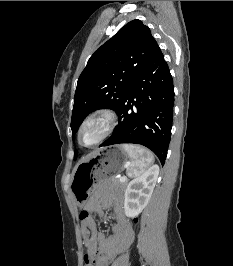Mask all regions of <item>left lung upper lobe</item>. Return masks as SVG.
Here are the masks:
<instances>
[{
  "mask_svg": "<svg viewBox=\"0 0 233 266\" xmlns=\"http://www.w3.org/2000/svg\"><path fill=\"white\" fill-rule=\"evenodd\" d=\"M157 46L150 29L133 20L94 52L77 82L72 136L92 111L109 108L117 112Z\"/></svg>",
  "mask_w": 233,
  "mask_h": 266,
  "instance_id": "1",
  "label": "left lung upper lobe"
}]
</instances>
